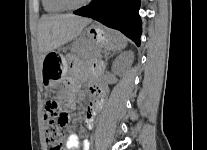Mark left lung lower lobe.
I'll return each mask as SVG.
<instances>
[{
	"label": "left lung lower lobe",
	"instance_id": "obj_1",
	"mask_svg": "<svg viewBox=\"0 0 207 150\" xmlns=\"http://www.w3.org/2000/svg\"><path fill=\"white\" fill-rule=\"evenodd\" d=\"M139 7L140 0H93L74 13L117 29L140 46L142 28Z\"/></svg>",
	"mask_w": 207,
	"mask_h": 150
}]
</instances>
